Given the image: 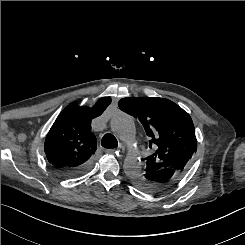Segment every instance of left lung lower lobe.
<instances>
[{
	"label": "left lung lower lobe",
	"mask_w": 245,
	"mask_h": 245,
	"mask_svg": "<svg viewBox=\"0 0 245 245\" xmlns=\"http://www.w3.org/2000/svg\"><path fill=\"white\" fill-rule=\"evenodd\" d=\"M180 174L173 170H166L161 173L155 174L152 179V192L148 193H159L172 187L180 178Z\"/></svg>",
	"instance_id": "obj_1"
}]
</instances>
